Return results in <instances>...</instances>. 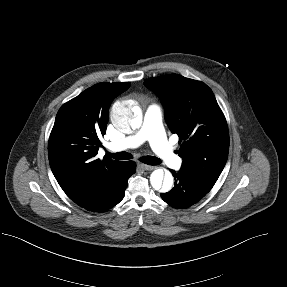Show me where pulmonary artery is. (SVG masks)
<instances>
[{
  "label": "pulmonary artery",
  "mask_w": 287,
  "mask_h": 287,
  "mask_svg": "<svg viewBox=\"0 0 287 287\" xmlns=\"http://www.w3.org/2000/svg\"><path fill=\"white\" fill-rule=\"evenodd\" d=\"M148 141L156 155L169 167L179 168L181 158L176 155L166 139L162 128V112L157 104H151L144 115L141 128L133 135L111 142L108 148L112 151H121L135 148Z\"/></svg>",
  "instance_id": "e3ab8cb5"
}]
</instances>
